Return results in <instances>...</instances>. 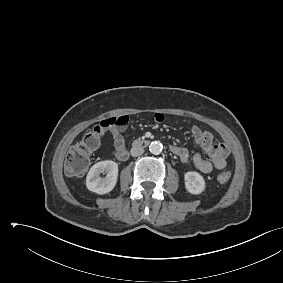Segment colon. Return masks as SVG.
<instances>
[{
    "instance_id": "1",
    "label": "colon",
    "mask_w": 283,
    "mask_h": 283,
    "mask_svg": "<svg viewBox=\"0 0 283 283\" xmlns=\"http://www.w3.org/2000/svg\"><path fill=\"white\" fill-rule=\"evenodd\" d=\"M103 133L104 130L100 124L84 135L82 140L70 149L66 157V170L70 175L78 176L87 171L90 165L91 155L98 149ZM230 178L231 172L227 169L217 174V180L220 183H227Z\"/></svg>"
}]
</instances>
